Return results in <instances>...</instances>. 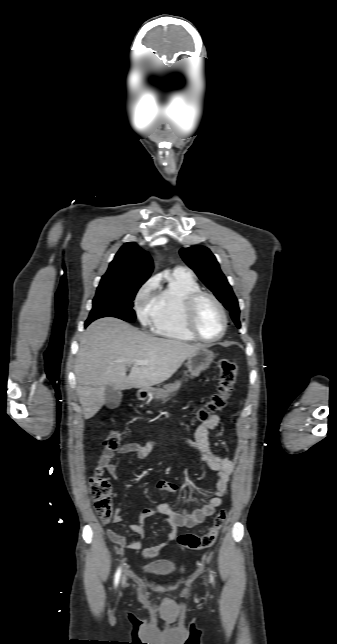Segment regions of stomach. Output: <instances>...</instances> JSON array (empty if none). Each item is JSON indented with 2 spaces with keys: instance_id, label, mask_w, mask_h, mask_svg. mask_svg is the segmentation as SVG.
<instances>
[{
  "instance_id": "0dacf381",
  "label": "stomach",
  "mask_w": 337,
  "mask_h": 644,
  "mask_svg": "<svg viewBox=\"0 0 337 644\" xmlns=\"http://www.w3.org/2000/svg\"><path fill=\"white\" fill-rule=\"evenodd\" d=\"M213 358H214L213 352L206 347L199 349L192 356L187 358L186 365L191 378L199 376V374L202 371L206 370L211 364V362L213 361ZM142 393L145 396L148 395V397H152V396L158 397L155 390H146L145 392H142Z\"/></svg>"
}]
</instances>
